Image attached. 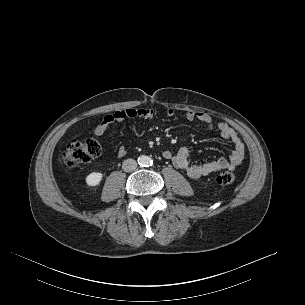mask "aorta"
<instances>
[{"label": "aorta", "instance_id": "aorta-1", "mask_svg": "<svg viewBox=\"0 0 305 305\" xmlns=\"http://www.w3.org/2000/svg\"><path fill=\"white\" fill-rule=\"evenodd\" d=\"M138 163L141 166H148L151 163V159L146 155H140L138 157Z\"/></svg>", "mask_w": 305, "mask_h": 305}]
</instances>
